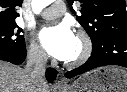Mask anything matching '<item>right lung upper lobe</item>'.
I'll list each match as a JSON object with an SVG mask.
<instances>
[{"label":"right lung upper lobe","mask_w":127,"mask_h":92,"mask_svg":"<svg viewBox=\"0 0 127 92\" xmlns=\"http://www.w3.org/2000/svg\"><path fill=\"white\" fill-rule=\"evenodd\" d=\"M23 0H0V24L15 23L19 16L16 7L22 5Z\"/></svg>","instance_id":"obj_1"}]
</instances>
